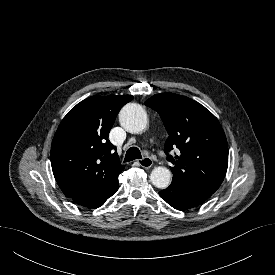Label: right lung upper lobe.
Returning a JSON list of instances; mask_svg holds the SVG:
<instances>
[{
    "label": "right lung upper lobe",
    "instance_id": "cb5924a9",
    "mask_svg": "<svg viewBox=\"0 0 275 275\" xmlns=\"http://www.w3.org/2000/svg\"><path fill=\"white\" fill-rule=\"evenodd\" d=\"M132 99L95 95L78 103L61 121L52 141L51 165L67 197L97 192L118 180L123 168L108 135L118 112Z\"/></svg>",
    "mask_w": 275,
    "mask_h": 275
}]
</instances>
